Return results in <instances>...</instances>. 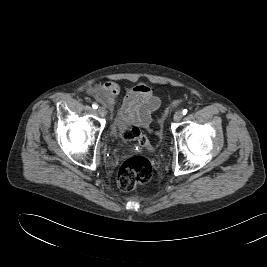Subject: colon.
I'll list each match as a JSON object with an SVG mask.
<instances>
[{
    "mask_svg": "<svg viewBox=\"0 0 267 267\" xmlns=\"http://www.w3.org/2000/svg\"><path fill=\"white\" fill-rule=\"evenodd\" d=\"M182 103L181 99L172 101L170 106L164 111L163 117H166L169 112ZM158 137H162V131L158 132ZM123 142L132 141L138 142L141 146L153 151V146L149 139L137 127H127L121 133ZM153 176V167L151 162L142 156H133L121 165L117 175V185L120 190L129 192L140 185L147 184Z\"/></svg>",
    "mask_w": 267,
    "mask_h": 267,
    "instance_id": "colon-1",
    "label": "colon"
}]
</instances>
